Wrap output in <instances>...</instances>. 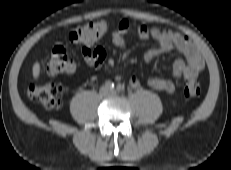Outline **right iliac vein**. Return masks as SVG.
I'll return each instance as SVG.
<instances>
[{
  "mask_svg": "<svg viewBox=\"0 0 231 170\" xmlns=\"http://www.w3.org/2000/svg\"><path fill=\"white\" fill-rule=\"evenodd\" d=\"M109 93V91H108V88H106V87H102L101 88V90H100V94L101 95H107Z\"/></svg>",
  "mask_w": 231,
  "mask_h": 170,
  "instance_id": "right-iliac-vein-1",
  "label": "right iliac vein"
}]
</instances>
